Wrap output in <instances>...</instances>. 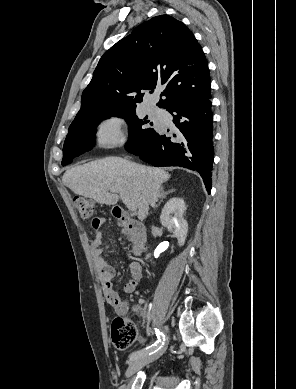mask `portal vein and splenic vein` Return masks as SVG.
<instances>
[{"mask_svg": "<svg viewBox=\"0 0 296 389\" xmlns=\"http://www.w3.org/2000/svg\"><path fill=\"white\" fill-rule=\"evenodd\" d=\"M120 197L123 201V203L127 206V208L131 211V212H134L136 211V205L134 202L130 201L129 199H127L123 194H120Z\"/></svg>", "mask_w": 296, "mask_h": 389, "instance_id": "portal-vein-and-splenic-vein-1", "label": "portal vein and splenic vein"}]
</instances>
